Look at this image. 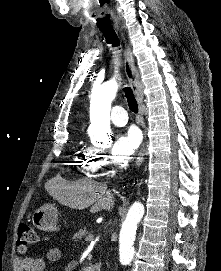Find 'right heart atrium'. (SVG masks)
Instances as JSON below:
<instances>
[{"label": "right heart atrium", "mask_w": 221, "mask_h": 271, "mask_svg": "<svg viewBox=\"0 0 221 271\" xmlns=\"http://www.w3.org/2000/svg\"><path fill=\"white\" fill-rule=\"evenodd\" d=\"M75 159H80L82 164H86L81 166H88V171H80V173H102V168L106 165V159H110V154H103V151H78Z\"/></svg>", "instance_id": "1"}]
</instances>
